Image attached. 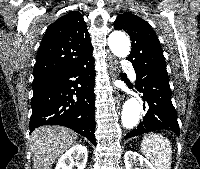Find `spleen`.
<instances>
[{
  "label": "spleen",
  "mask_w": 200,
  "mask_h": 169,
  "mask_svg": "<svg viewBox=\"0 0 200 169\" xmlns=\"http://www.w3.org/2000/svg\"><path fill=\"white\" fill-rule=\"evenodd\" d=\"M141 152L156 167V169H170L172 161V147L167 138L158 133H150L143 137Z\"/></svg>",
  "instance_id": "3e777b00"
}]
</instances>
